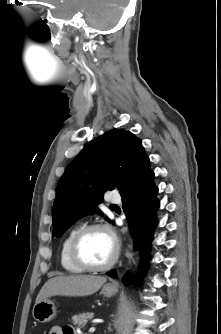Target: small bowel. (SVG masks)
I'll return each mask as SVG.
<instances>
[{
	"instance_id": "obj_1",
	"label": "small bowel",
	"mask_w": 221,
	"mask_h": 334,
	"mask_svg": "<svg viewBox=\"0 0 221 334\" xmlns=\"http://www.w3.org/2000/svg\"><path fill=\"white\" fill-rule=\"evenodd\" d=\"M49 334H75V333L70 329H62L59 326H53L50 329Z\"/></svg>"
}]
</instances>
